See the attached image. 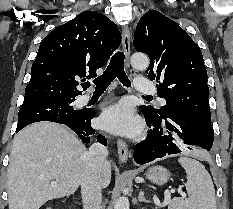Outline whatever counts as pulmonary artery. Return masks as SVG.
<instances>
[{
    "label": "pulmonary artery",
    "instance_id": "pulmonary-artery-1",
    "mask_svg": "<svg viewBox=\"0 0 233 209\" xmlns=\"http://www.w3.org/2000/svg\"><path fill=\"white\" fill-rule=\"evenodd\" d=\"M135 89L136 91L143 93V94H153L155 93V86L154 84L146 78L136 77L135 78ZM91 99V95L86 94L82 97V102L86 103ZM160 103H165L164 99L159 98Z\"/></svg>",
    "mask_w": 233,
    "mask_h": 209
}]
</instances>
